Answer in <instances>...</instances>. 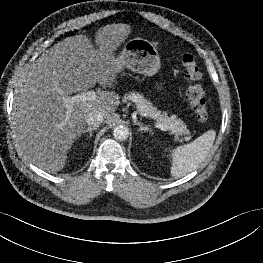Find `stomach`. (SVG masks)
<instances>
[{
    "mask_svg": "<svg viewBox=\"0 0 263 263\" xmlns=\"http://www.w3.org/2000/svg\"><path fill=\"white\" fill-rule=\"evenodd\" d=\"M119 70L124 68L133 72L153 76L161 68L158 51L153 43L143 38L126 42L120 55L116 57Z\"/></svg>",
    "mask_w": 263,
    "mask_h": 263,
    "instance_id": "stomach-1",
    "label": "stomach"
}]
</instances>
